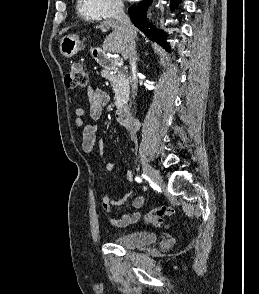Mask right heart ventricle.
I'll use <instances>...</instances> for the list:
<instances>
[{"label": "right heart ventricle", "mask_w": 259, "mask_h": 294, "mask_svg": "<svg viewBox=\"0 0 259 294\" xmlns=\"http://www.w3.org/2000/svg\"><path fill=\"white\" fill-rule=\"evenodd\" d=\"M78 15L87 20H97L99 18L92 0H77L76 4Z\"/></svg>", "instance_id": "right-heart-ventricle-1"}]
</instances>
